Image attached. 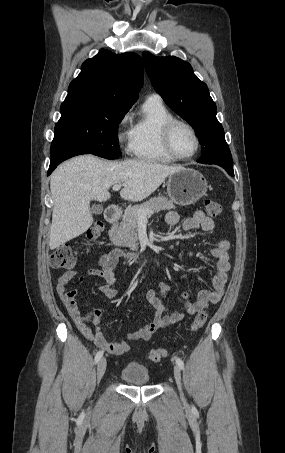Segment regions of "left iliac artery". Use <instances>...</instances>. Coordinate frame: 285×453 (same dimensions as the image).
Listing matches in <instances>:
<instances>
[{"label":"left iliac artery","instance_id":"44dca946","mask_svg":"<svg viewBox=\"0 0 285 453\" xmlns=\"http://www.w3.org/2000/svg\"><path fill=\"white\" fill-rule=\"evenodd\" d=\"M175 360H176V364L180 367V369L183 370L184 369L183 361L180 358H178V357H176Z\"/></svg>","mask_w":285,"mask_h":453}]
</instances>
